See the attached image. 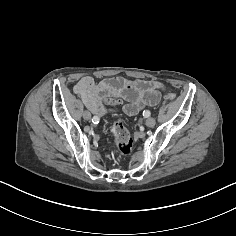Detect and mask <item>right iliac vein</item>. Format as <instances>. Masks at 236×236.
I'll return each mask as SVG.
<instances>
[{
    "instance_id": "63e3f726",
    "label": "right iliac vein",
    "mask_w": 236,
    "mask_h": 236,
    "mask_svg": "<svg viewBox=\"0 0 236 236\" xmlns=\"http://www.w3.org/2000/svg\"><path fill=\"white\" fill-rule=\"evenodd\" d=\"M83 118L85 120H90L91 119V113L89 111H84L83 112Z\"/></svg>"
}]
</instances>
